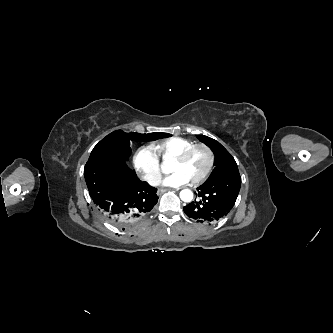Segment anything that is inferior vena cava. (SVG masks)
<instances>
[{
  "label": "inferior vena cava",
  "mask_w": 333,
  "mask_h": 333,
  "mask_svg": "<svg viewBox=\"0 0 333 333\" xmlns=\"http://www.w3.org/2000/svg\"><path fill=\"white\" fill-rule=\"evenodd\" d=\"M161 182V176L159 174H152L149 176V183L153 186H158Z\"/></svg>",
  "instance_id": "inferior-vena-cava-1"
}]
</instances>
